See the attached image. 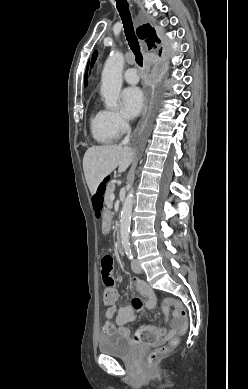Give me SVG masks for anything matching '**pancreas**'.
Wrapping results in <instances>:
<instances>
[{"mask_svg": "<svg viewBox=\"0 0 248 389\" xmlns=\"http://www.w3.org/2000/svg\"><path fill=\"white\" fill-rule=\"evenodd\" d=\"M114 190H115V184L113 182H110L107 186L106 194H105V204L108 209L111 208L112 206V201L110 197L113 194Z\"/></svg>", "mask_w": 248, "mask_h": 389, "instance_id": "obj_1", "label": "pancreas"}]
</instances>
